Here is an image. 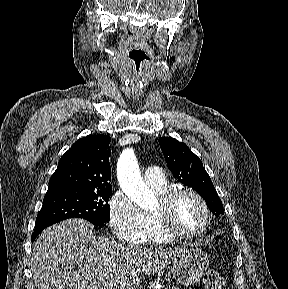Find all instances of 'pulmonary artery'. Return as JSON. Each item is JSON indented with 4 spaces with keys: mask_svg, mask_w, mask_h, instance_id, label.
<instances>
[{
    "mask_svg": "<svg viewBox=\"0 0 288 289\" xmlns=\"http://www.w3.org/2000/svg\"><path fill=\"white\" fill-rule=\"evenodd\" d=\"M145 182L151 187H164L167 185L165 174L159 167H149L143 174Z\"/></svg>",
    "mask_w": 288,
    "mask_h": 289,
    "instance_id": "obj_1",
    "label": "pulmonary artery"
}]
</instances>
